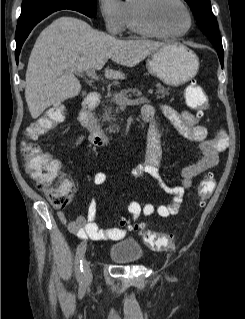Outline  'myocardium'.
Here are the masks:
<instances>
[{
    "mask_svg": "<svg viewBox=\"0 0 245 319\" xmlns=\"http://www.w3.org/2000/svg\"><path fill=\"white\" fill-rule=\"evenodd\" d=\"M185 10L188 18V24L186 28L180 32H166L161 29L153 20V8L158 0H139L136 4V18L142 31L150 36L162 37V38H177L181 37L189 32L193 25V16L183 0H175Z\"/></svg>",
    "mask_w": 245,
    "mask_h": 319,
    "instance_id": "f54148a6",
    "label": "myocardium"
}]
</instances>
